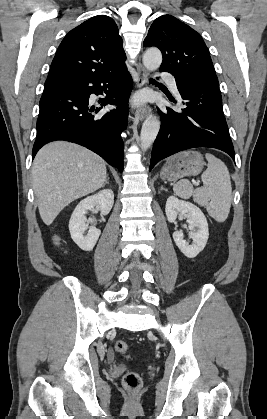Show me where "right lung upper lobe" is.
Listing matches in <instances>:
<instances>
[{
    "label": "right lung upper lobe",
    "mask_w": 267,
    "mask_h": 419,
    "mask_svg": "<svg viewBox=\"0 0 267 419\" xmlns=\"http://www.w3.org/2000/svg\"><path fill=\"white\" fill-rule=\"evenodd\" d=\"M126 60L116 23L94 16L72 29L62 40L46 81L104 76L120 70Z\"/></svg>",
    "instance_id": "obj_1"
}]
</instances>
